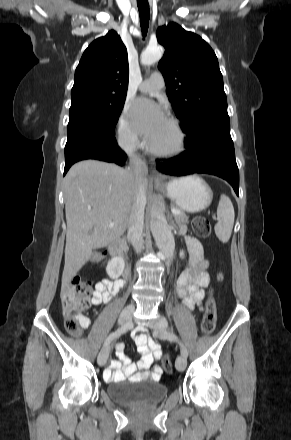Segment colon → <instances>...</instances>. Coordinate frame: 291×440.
Instances as JSON below:
<instances>
[{"label":"colon","instance_id":"obj_1","mask_svg":"<svg viewBox=\"0 0 291 440\" xmlns=\"http://www.w3.org/2000/svg\"><path fill=\"white\" fill-rule=\"evenodd\" d=\"M194 233L202 238L208 237L211 227L203 216H196L192 223ZM92 281L86 277H75L71 283L61 289L62 313L65 317V328L72 336H80L81 325L78 318L84 316L91 306ZM216 324V307L212 299L209 300L201 323L204 334L211 333ZM162 365L168 373L174 370L173 363L168 356L162 359Z\"/></svg>","mask_w":291,"mask_h":440}]
</instances>
